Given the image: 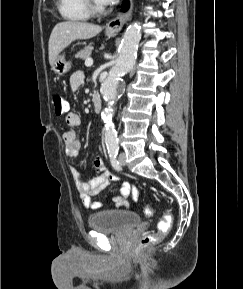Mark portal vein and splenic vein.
<instances>
[{
	"instance_id": "obj_1",
	"label": "portal vein and splenic vein",
	"mask_w": 243,
	"mask_h": 289,
	"mask_svg": "<svg viewBox=\"0 0 243 289\" xmlns=\"http://www.w3.org/2000/svg\"><path fill=\"white\" fill-rule=\"evenodd\" d=\"M92 64H93V59H92V58H87V59L85 60V65H86L87 67H90Z\"/></svg>"
}]
</instances>
